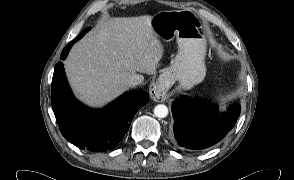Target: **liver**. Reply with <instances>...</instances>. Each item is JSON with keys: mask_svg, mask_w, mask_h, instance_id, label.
<instances>
[{"mask_svg": "<svg viewBox=\"0 0 294 180\" xmlns=\"http://www.w3.org/2000/svg\"><path fill=\"white\" fill-rule=\"evenodd\" d=\"M152 17L108 19L73 46L65 71L84 103L103 106L129 88L130 76L155 71L163 46L151 26Z\"/></svg>", "mask_w": 294, "mask_h": 180, "instance_id": "1", "label": "liver"}]
</instances>
